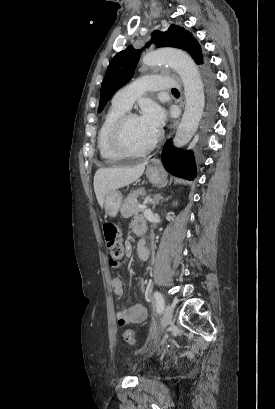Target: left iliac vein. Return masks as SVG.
Instances as JSON below:
<instances>
[{"mask_svg": "<svg viewBox=\"0 0 275 409\" xmlns=\"http://www.w3.org/2000/svg\"><path fill=\"white\" fill-rule=\"evenodd\" d=\"M173 310L174 307L170 304L165 306V310H164V314H163V318H162V323L160 326V331L162 332L164 330L165 327H167L171 321H172V315H173Z\"/></svg>", "mask_w": 275, "mask_h": 409, "instance_id": "1", "label": "left iliac vein"}]
</instances>
